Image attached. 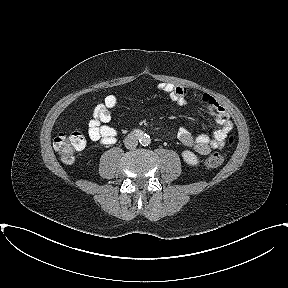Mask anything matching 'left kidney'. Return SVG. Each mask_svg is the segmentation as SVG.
<instances>
[{"label":"left kidney","instance_id":"1","mask_svg":"<svg viewBox=\"0 0 288 288\" xmlns=\"http://www.w3.org/2000/svg\"><path fill=\"white\" fill-rule=\"evenodd\" d=\"M182 157H183L184 161L189 165L196 166L199 163L198 157L193 152H191L189 150L183 151Z\"/></svg>","mask_w":288,"mask_h":288}]
</instances>
